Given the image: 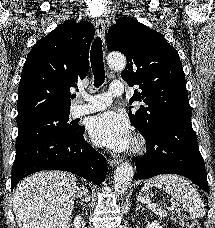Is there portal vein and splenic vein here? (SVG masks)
<instances>
[{"label": "portal vein and splenic vein", "mask_w": 215, "mask_h": 228, "mask_svg": "<svg viewBox=\"0 0 215 228\" xmlns=\"http://www.w3.org/2000/svg\"><path fill=\"white\" fill-rule=\"evenodd\" d=\"M147 208L148 210H156V208H158V204H148Z\"/></svg>", "instance_id": "portal-vein-and-splenic-vein-1"}]
</instances>
